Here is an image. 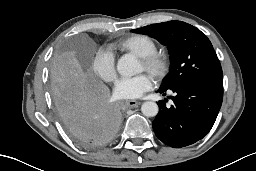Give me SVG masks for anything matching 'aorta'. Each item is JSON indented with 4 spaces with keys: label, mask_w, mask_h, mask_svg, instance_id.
<instances>
[{
    "label": "aorta",
    "mask_w": 256,
    "mask_h": 171,
    "mask_svg": "<svg viewBox=\"0 0 256 171\" xmlns=\"http://www.w3.org/2000/svg\"><path fill=\"white\" fill-rule=\"evenodd\" d=\"M117 71L123 76H133L139 72V63L133 56H122L117 62ZM141 111L146 117H154L158 114L159 108L157 103L146 101L142 104Z\"/></svg>",
    "instance_id": "1"
}]
</instances>
